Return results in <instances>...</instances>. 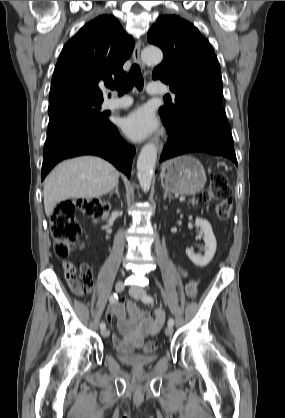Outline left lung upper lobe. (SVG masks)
<instances>
[{
  "mask_svg": "<svg viewBox=\"0 0 285 418\" xmlns=\"http://www.w3.org/2000/svg\"><path fill=\"white\" fill-rule=\"evenodd\" d=\"M159 46L164 58L152 73L153 79L169 84L175 103L159 109L169 132L189 121L209 116L227 121L223 109L222 77L218 59L209 41L179 16L160 17L147 35Z\"/></svg>",
  "mask_w": 285,
  "mask_h": 418,
  "instance_id": "5c2ea615",
  "label": "left lung upper lobe"
}]
</instances>
